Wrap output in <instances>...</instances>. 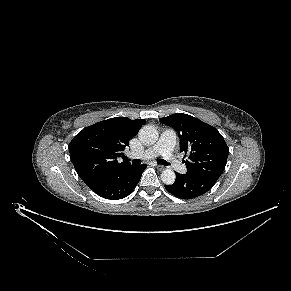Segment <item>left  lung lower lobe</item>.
Instances as JSON below:
<instances>
[{
  "label": "left lung lower lobe",
  "mask_w": 291,
  "mask_h": 291,
  "mask_svg": "<svg viewBox=\"0 0 291 291\" xmlns=\"http://www.w3.org/2000/svg\"><path fill=\"white\" fill-rule=\"evenodd\" d=\"M219 176L176 174V180L171 185H165L166 190L181 199H192L209 191Z\"/></svg>",
  "instance_id": "0a47b994"
}]
</instances>
